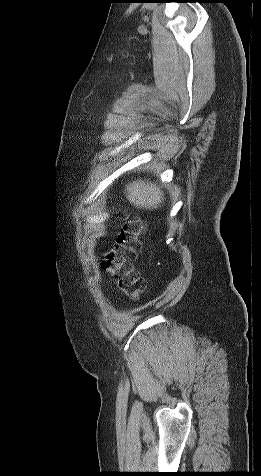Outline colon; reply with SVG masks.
<instances>
[{
    "mask_svg": "<svg viewBox=\"0 0 261 476\" xmlns=\"http://www.w3.org/2000/svg\"><path fill=\"white\" fill-rule=\"evenodd\" d=\"M124 220L121 231L103 252L101 267L110 276L115 288L133 300L141 297L144 282L133 263L140 250L141 222L134 217L121 215Z\"/></svg>",
    "mask_w": 261,
    "mask_h": 476,
    "instance_id": "obj_1",
    "label": "colon"
}]
</instances>
